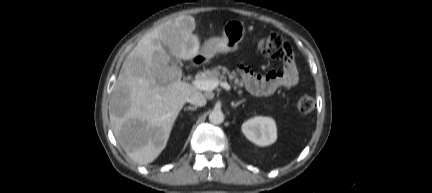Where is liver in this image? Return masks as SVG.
Instances as JSON below:
<instances>
[{
	"label": "liver",
	"mask_w": 432,
	"mask_h": 193,
	"mask_svg": "<svg viewBox=\"0 0 432 193\" xmlns=\"http://www.w3.org/2000/svg\"><path fill=\"white\" fill-rule=\"evenodd\" d=\"M195 28L192 16L168 20L145 35L123 62L109 117L116 140L138 164H149L160 155L180 110L197 91L181 81L178 66L169 65L170 55L183 60L200 55Z\"/></svg>",
	"instance_id": "obj_1"
}]
</instances>
